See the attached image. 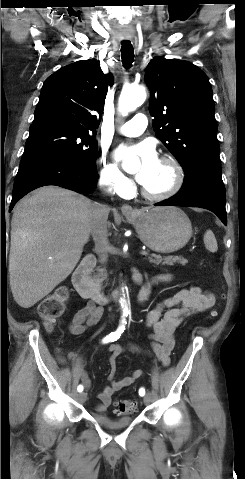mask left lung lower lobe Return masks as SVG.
I'll return each mask as SVG.
<instances>
[{
	"instance_id": "0a47b994",
	"label": "left lung lower lobe",
	"mask_w": 245,
	"mask_h": 479,
	"mask_svg": "<svg viewBox=\"0 0 245 479\" xmlns=\"http://www.w3.org/2000/svg\"><path fill=\"white\" fill-rule=\"evenodd\" d=\"M221 172L219 159L201 161L185 172V181L176 195L155 205L205 208L226 225L225 187Z\"/></svg>"
}]
</instances>
